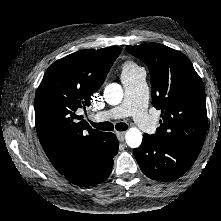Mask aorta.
<instances>
[{"mask_svg": "<svg viewBox=\"0 0 221 221\" xmlns=\"http://www.w3.org/2000/svg\"><path fill=\"white\" fill-rule=\"evenodd\" d=\"M104 99L109 105H117L123 99V89L118 83H110L104 89ZM126 143L131 148H138L142 142V133L136 128H129L125 135Z\"/></svg>", "mask_w": 221, "mask_h": 221, "instance_id": "762f6f07", "label": "aorta"}]
</instances>
